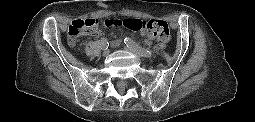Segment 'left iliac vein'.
<instances>
[{"label": "left iliac vein", "instance_id": "left-iliac-vein-1", "mask_svg": "<svg viewBox=\"0 0 255 122\" xmlns=\"http://www.w3.org/2000/svg\"><path fill=\"white\" fill-rule=\"evenodd\" d=\"M123 48H124L125 50H127V51L133 53L134 55H136V56H138V57H142V55H141L139 52L133 50L131 47H129V46H127V45L123 46Z\"/></svg>", "mask_w": 255, "mask_h": 122}]
</instances>
